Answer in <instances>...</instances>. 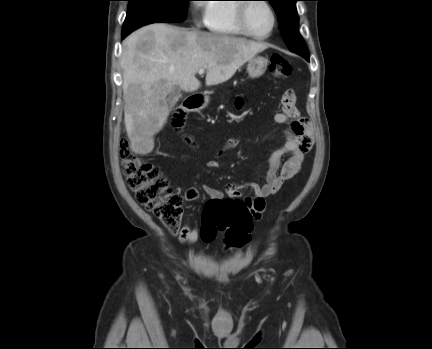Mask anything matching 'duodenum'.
I'll list each match as a JSON object with an SVG mask.
<instances>
[{"mask_svg":"<svg viewBox=\"0 0 432 349\" xmlns=\"http://www.w3.org/2000/svg\"><path fill=\"white\" fill-rule=\"evenodd\" d=\"M201 103L202 98L199 96H192L187 98L183 102L180 112L176 114L173 120V126L177 128L182 126L185 114L196 111L201 106Z\"/></svg>","mask_w":432,"mask_h":349,"instance_id":"obj_1","label":"duodenum"}]
</instances>
